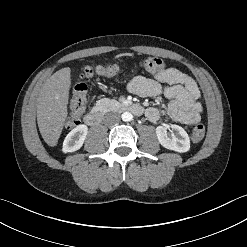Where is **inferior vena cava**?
Here are the masks:
<instances>
[{"instance_id": "602c4592", "label": "inferior vena cava", "mask_w": 247, "mask_h": 247, "mask_svg": "<svg viewBox=\"0 0 247 247\" xmlns=\"http://www.w3.org/2000/svg\"><path fill=\"white\" fill-rule=\"evenodd\" d=\"M119 121H120V116L115 113L108 114L104 118V123L107 125H114L119 123Z\"/></svg>"}]
</instances>
